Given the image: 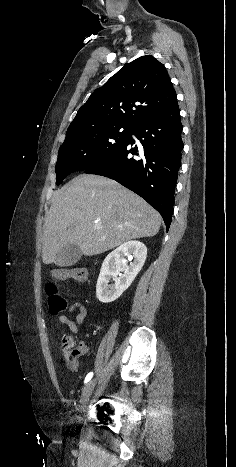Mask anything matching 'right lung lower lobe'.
Segmentation results:
<instances>
[{"label": "right lung lower lobe", "mask_w": 236, "mask_h": 467, "mask_svg": "<svg viewBox=\"0 0 236 467\" xmlns=\"http://www.w3.org/2000/svg\"><path fill=\"white\" fill-rule=\"evenodd\" d=\"M182 129L176 102L134 127L132 134L140 140V149L131 134L120 149L84 172L114 179L144 198L161 214L168 230L181 166Z\"/></svg>", "instance_id": "obj_1"}]
</instances>
